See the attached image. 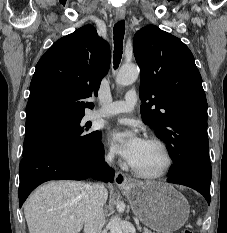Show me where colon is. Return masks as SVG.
Segmentation results:
<instances>
[{
  "instance_id": "5ec220e1",
  "label": "colon",
  "mask_w": 227,
  "mask_h": 233,
  "mask_svg": "<svg viewBox=\"0 0 227 233\" xmlns=\"http://www.w3.org/2000/svg\"><path fill=\"white\" fill-rule=\"evenodd\" d=\"M180 233H194L191 229H184Z\"/></svg>"
}]
</instances>
